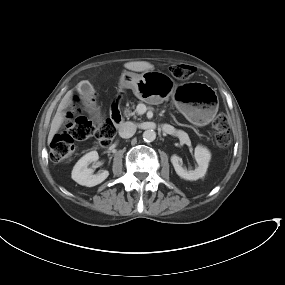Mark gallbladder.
Listing matches in <instances>:
<instances>
[{"mask_svg": "<svg viewBox=\"0 0 285 285\" xmlns=\"http://www.w3.org/2000/svg\"><path fill=\"white\" fill-rule=\"evenodd\" d=\"M79 92L82 103L89 116L94 120L101 119L102 114L100 107L94 101H92V98L95 94L93 86L88 81H84L80 87Z\"/></svg>", "mask_w": 285, "mask_h": 285, "instance_id": "bac80fb5", "label": "gallbladder"}]
</instances>
